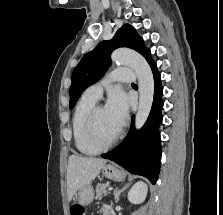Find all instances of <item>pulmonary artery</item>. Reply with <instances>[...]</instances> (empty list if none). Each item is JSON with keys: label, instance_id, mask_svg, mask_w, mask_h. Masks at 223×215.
Returning <instances> with one entry per match:
<instances>
[{"label": "pulmonary artery", "instance_id": "pulmonary-artery-1", "mask_svg": "<svg viewBox=\"0 0 223 215\" xmlns=\"http://www.w3.org/2000/svg\"><path fill=\"white\" fill-rule=\"evenodd\" d=\"M135 77L136 74L133 73V69H126L125 65H118L117 69H110V75H108L105 79L89 87L85 91L84 96L94 101H98L101 98L103 88L106 83L110 81H121L122 83H131L134 81Z\"/></svg>", "mask_w": 223, "mask_h": 215}]
</instances>
